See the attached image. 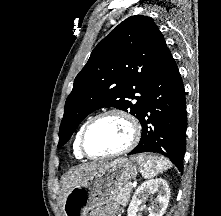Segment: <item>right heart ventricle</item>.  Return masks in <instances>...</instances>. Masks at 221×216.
I'll return each mask as SVG.
<instances>
[{"label": "right heart ventricle", "instance_id": "1", "mask_svg": "<svg viewBox=\"0 0 221 216\" xmlns=\"http://www.w3.org/2000/svg\"><path fill=\"white\" fill-rule=\"evenodd\" d=\"M83 127H84V125L80 128V130L76 134V137H75V140L73 143V154L76 158H83V154L80 152L79 146H78L79 136H80V133H81V130Z\"/></svg>", "mask_w": 221, "mask_h": 216}]
</instances>
